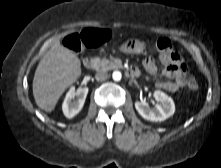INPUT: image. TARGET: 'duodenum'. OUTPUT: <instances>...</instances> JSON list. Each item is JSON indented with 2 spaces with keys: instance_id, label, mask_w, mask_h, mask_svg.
Wrapping results in <instances>:
<instances>
[{
  "instance_id": "duodenum-1",
  "label": "duodenum",
  "mask_w": 221,
  "mask_h": 168,
  "mask_svg": "<svg viewBox=\"0 0 221 168\" xmlns=\"http://www.w3.org/2000/svg\"><path fill=\"white\" fill-rule=\"evenodd\" d=\"M83 65L87 69H94L96 66L95 59L93 57L87 56L83 59ZM138 75V71L135 68H130L126 71V76L135 77Z\"/></svg>"
}]
</instances>
